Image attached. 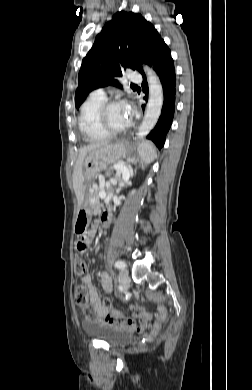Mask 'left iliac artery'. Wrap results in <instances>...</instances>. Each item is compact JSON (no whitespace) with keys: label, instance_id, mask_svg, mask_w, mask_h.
<instances>
[{"label":"left iliac artery","instance_id":"left-iliac-artery-1","mask_svg":"<svg viewBox=\"0 0 252 390\" xmlns=\"http://www.w3.org/2000/svg\"><path fill=\"white\" fill-rule=\"evenodd\" d=\"M126 266L125 262L122 260H118L115 262V267L118 269H124Z\"/></svg>","mask_w":252,"mask_h":390}]
</instances>
